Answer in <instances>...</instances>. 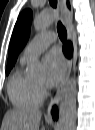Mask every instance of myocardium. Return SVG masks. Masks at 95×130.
<instances>
[{
	"mask_svg": "<svg viewBox=\"0 0 95 130\" xmlns=\"http://www.w3.org/2000/svg\"><path fill=\"white\" fill-rule=\"evenodd\" d=\"M36 84H37V86L39 87V89H40V91L42 93V84L41 83H36Z\"/></svg>",
	"mask_w": 95,
	"mask_h": 130,
	"instance_id": "myocardium-1",
	"label": "myocardium"
}]
</instances>
